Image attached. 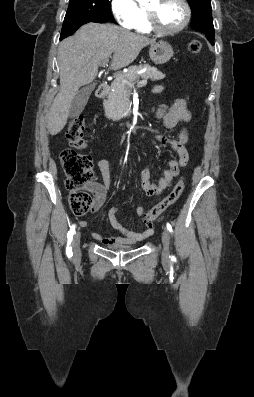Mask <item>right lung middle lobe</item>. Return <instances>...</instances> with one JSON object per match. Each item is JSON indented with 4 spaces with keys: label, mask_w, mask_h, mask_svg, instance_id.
I'll return each mask as SVG.
<instances>
[{
    "label": "right lung middle lobe",
    "mask_w": 254,
    "mask_h": 397,
    "mask_svg": "<svg viewBox=\"0 0 254 397\" xmlns=\"http://www.w3.org/2000/svg\"><path fill=\"white\" fill-rule=\"evenodd\" d=\"M87 18L109 21L112 18L109 0H70L65 19Z\"/></svg>",
    "instance_id": "obj_1"
}]
</instances>
